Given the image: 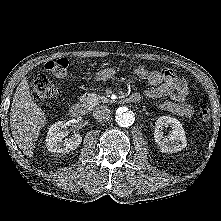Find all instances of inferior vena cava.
<instances>
[{"instance_id":"1","label":"inferior vena cava","mask_w":221,"mask_h":221,"mask_svg":"<svg viewBox=\"0 0 221 221\" xmlns=\"http://www.w3.org/2000/svg\"><path fill=\"white\" fill-rule=\"evenodd\" d=\"M93 116L98 122H107L111 116V111L107 106L100 105L94 109Z\"/></svg>"}]
</instances>
